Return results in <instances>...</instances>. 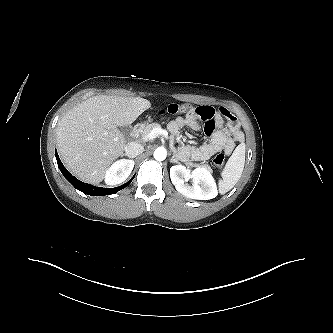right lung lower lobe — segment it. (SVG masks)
Segmentation results:
<instances>
[{"label":"right lung lower lobe","instance_id":"98d812e1","mask_svg":"<svg viewBox=\"0 0 333 333\" xmlns=\"http://www.w3.org/2000/svg\"><path fill=\"white\" fill-rule=\"evenodd\" d=\"M56 160H57V164L58 167L60 169V171L62 172L63 176L79 191L83 192L84 194H88V195H92V196H102V195H111L114 194L116 192H118L119 190L127 187L130 182L132 181V179L130 181H128L127 183H125L124 185H121L119 187L116 188H102V187H96L90 184H86L83 183L81 181H79L77 178H75L74 176H72L64 167V165L62 164L58 153L56 151Z\"/></svg>","mask_w":333,"mask_h":333}]
</instances>
